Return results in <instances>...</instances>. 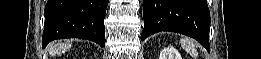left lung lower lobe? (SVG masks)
Listing matches in <instances>:
<instances>
[{
    "label": "left lung lower lobe",
    "instance_id": "1",
    "mask_svg": "<svg viewBox=\"0 0 261 59\" xmlns=\"http://www.w3.org/2000/svg\"><path fill=\"white\" fill-rule=\"evenodd\" d=\"M143 18L141 40L170 31L190 36L210 51L207 0H143Z\"/></svg>",
    "mask_w": 261,
    "mask_h": 59
}]
</instances>
